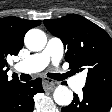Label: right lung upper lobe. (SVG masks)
I'll use <instances>...</instances> for the list:
<instances>
[{
  "label": "right lung upper lobe",
  "mask_w": 112,
  "mask_h": 112,
  "mask_svg": "<svg viewBox=\"0 0 112 112\" xmlns=\"http://www.w3.org/2000/svg\"><path fill=\"white\" fill-rule=\"evenodd\" d=\"M40 24V20H26L18 17L0 19V105L11 87L19 82L16 79L8 81L7 57L17 55L24 45L25 33Z\"/></svg>",
  "instance_id": "right-lung-upper-lobe-1"
}]
</instances>
